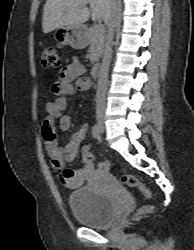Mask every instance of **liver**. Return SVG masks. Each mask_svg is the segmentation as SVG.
<instances>
[{
  "mask_svg": "<svg viewBox=\"0 0 194 250\" xmlns=\"http://www.w3.org/2000/svg\"><path fill=\"white\" fill-rule=\"evenodd\" d=\"M87 4H90V10ZM111 4L112 0H47L43 9V32L81 25L88 21L90 15L93 20L106 21Z\"/></svg>",
  "mask_w": 194,
  "mask_h": 250,
  "instance_id": "obj_1",
  "label": "liver"
}]
</instances>
